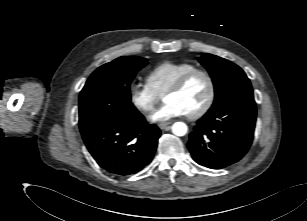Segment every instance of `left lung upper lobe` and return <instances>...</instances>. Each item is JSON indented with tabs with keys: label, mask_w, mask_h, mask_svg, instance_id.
<instances>
[{
	"label": "left lung upper lobe",
	"mask_w": 307,
	"mask_h": 221,
	"mask_svg": "<svg viewBox=\"0 0 307 221\" xmlns=\"http://www.w3.org/2000/svg\"><path fill=\"white\" fill-rule=\"evenodd\" d=\"M208 70L215 89V100L210 110L237 99H254L253 90L244 71L232 62L205 53L199 58Z\"/></svg>",
	"instance_id": "obj_1"
}]
</instances>
